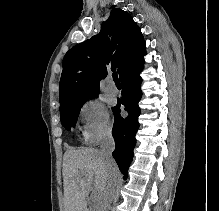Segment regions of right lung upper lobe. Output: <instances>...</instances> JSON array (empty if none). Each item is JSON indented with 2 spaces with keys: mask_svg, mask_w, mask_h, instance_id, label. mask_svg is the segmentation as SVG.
Returning <instances> with one entry per match:
<instances>
[{
  "mask_svg": "<svg viewBox=\"0 0 219 211\" xmlns=\"http://www.w3.org/2000/svg\"><path fill=\"white\" fill-rule=\"evenodd\" d=\"M145 48L140 28L130 14L112 9L98 35L66 53L59 87L60 105L98 94L99 81L107 70L117 69L121 79L129 69L144 62Z\"/></svg>",
  "mask_w": 219,
  "mask_h": 211,
  "instance_id": "obj_1",
  "label": "right lung upper lobe"
}]
</instances>
